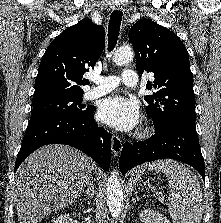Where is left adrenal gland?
<instances>
[{
  "label": "left adrenal gland",
  "mask_w": 221,
  "mask_h": 223,
  "mask_svg": "<svg viewBox=\"0 0 221 223\" xmlns=\"http://www.w3.org/2000/svg\"><path fill=\"white\" fill-rule=\"evenodd\" d=\"M134 198H133V202H136L137 200H139L140 199V197L138 196V192L136 191V192H134Z\"/></svg>",
  "instance_id": "a2214340"
}]
</instances>
